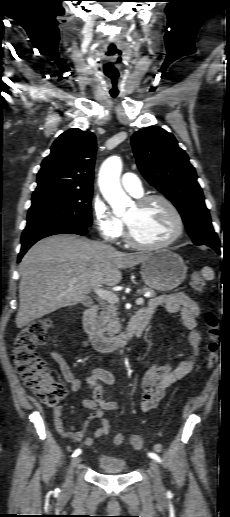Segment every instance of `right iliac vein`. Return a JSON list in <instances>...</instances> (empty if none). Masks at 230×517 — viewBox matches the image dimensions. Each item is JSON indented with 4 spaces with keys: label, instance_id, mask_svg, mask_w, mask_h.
<instances>
[{
    "label": "right iliac vein",
    "instance_id": "63e3f726",
    "mask_svg": "<svg viewBox=\"0 0 230 517\" xmlns=\"http://www.w3.org/2000/svg\"><path fill=\"white\" fill-rule=\"evenodd\" d=\"M80 463H81L80 456L75 457L71 462L70 469H69L68 476H67L66 483H65V488H64L66 492L72 488V474H73L74 470L80 465Z\"/></svg>",
    "mask_w": 230,
    "mask_h": 517
}]
</instances>
